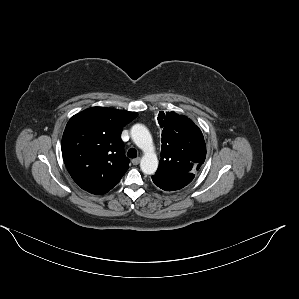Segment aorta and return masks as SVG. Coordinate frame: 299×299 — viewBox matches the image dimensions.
Segmentation results:
<instances>
[{
	"mask_svg": "<svg viewBox=\"0 0 299 299\" xmlns=\"http://www.w3.org/2000/svg\"><path fill=\"white\" fill-rule=\"evenodd\" d=\"M131 137L134 143L144 152L140 168L145 174H154L158 168V158L149 130L142 124H135L131 128Z\"/></svg>",
	"mask_w": 299,
	"mask_h": 299,
	"instance_id": "aorta-1",
	"label": "aorta"
}]
</instances>
